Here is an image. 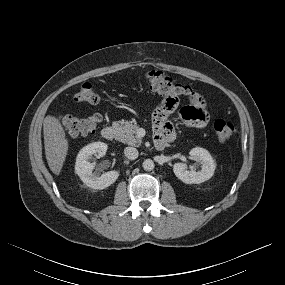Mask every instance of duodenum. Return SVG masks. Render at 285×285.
Segmentation results:
<instances>
[{
	"instance_id": "obj_1",
	"label": "duodenum",
	"mask_w": 285,
	"mask_h": 285,
	"mask_svg": "<svg viewBox=\"0 0 285 285\" xmlns=\"http://www.w3.org/2000/svg\"><path fill=\"white\" fill-rule=\"evenodd\" d=\"M116 127L108 125L105 126L102 131L101 135L105 140L112 141L116 137ZM168 140L165 137H156L154 144L156 149L163 150L167 145Z\"/></svg>"
}]
</instances>
